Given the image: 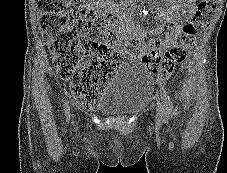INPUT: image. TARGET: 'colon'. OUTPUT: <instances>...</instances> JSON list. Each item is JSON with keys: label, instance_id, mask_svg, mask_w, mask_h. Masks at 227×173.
I'll return each mask as SVG.
<instances>
[{"label": "colon", "instance_id": "5ec220e1", "mask_svg": "<svg viewBox=\"0 0 227 173\" xmlns=\"http://www.w3.org/2000/svg\"><path fill=\"white\" fill-rule=\"evenodd\" d=\"M74 0H37L39 23L60 78L69 80L75 99L93 106L120 64L121 56L110 46L118 20L109 13L95 15L88 8H71ZM216 0H199L193 20L182 27L177 43L163 49L154 41L129 43L131 54L141 57L146 68L167 79L197 44V34L212 21Z\"/></svg>", "mask_w": 227, "mask_h": 173}]
</instances>
